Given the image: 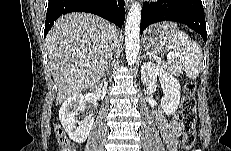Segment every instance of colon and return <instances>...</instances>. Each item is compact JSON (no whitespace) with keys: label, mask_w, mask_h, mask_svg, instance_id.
<instances>
[{"label":"colon","mask_w":231,"mask_h":151,"mask_svg":"<svg viewBox=\"0 0 231 151\" xmlns=\"http://www.w3.org/2000/svg\"><path fill=\"white\" fill-rule=\"evenodd\" d=\"M184 96L181 101L180 121L182 124L181 145L185 150L192 148L196 142V100L194 97L195 84L188 82L184 86ZM58 145L62 151H75L71 141L68 139L60 126L55 127Z\"/></svg>","instance_id":"1"}]
</instances>
